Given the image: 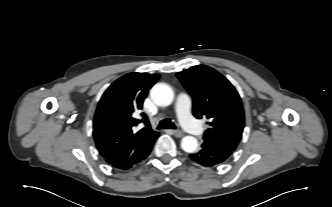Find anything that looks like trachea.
Returning a JSON list of instances; mask_svg holds the SVG:
<instances>
[{
    "instance_id": "obj_1",
    "label": "trachea",
    "mask_w": 332,
    "mask_h": 207,
    "mask_svg": "<svg viewBox=\"0 0 332 207\" xmlns=\"http://www.w3.org/2000/svg\"><path fill=\"white\" fill-rule=\"evenodd\" d=\"M157 129H176L175 124L168 118L160 121Z\"/></svg>"
}]
</instances>
